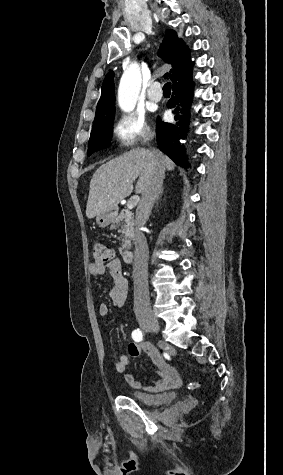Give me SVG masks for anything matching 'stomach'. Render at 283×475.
Listing matches in <instances>:
<instances>
[{
    "mask_svg": "<svg viewBox=\"0 0 283 475\" xmlns=\"http://www.w3.org/2000/svg\"><path fill=\"white\" fill-rule=\"evenodd\" d=\"M115 218H117V210H106V212L96 216V222L99 228H106V226L114 222Z\"/></svg>",
    "mask_w": 283,
    "mask_h": 475,
    "instance_id": "1",
    "label": "stomach"
}]
</instances>
